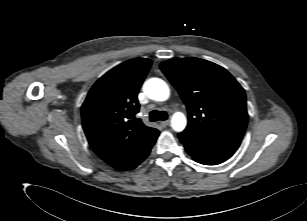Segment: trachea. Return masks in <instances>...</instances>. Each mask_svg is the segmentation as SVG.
Returning a JSON list of instances; mask_svg holds the SVG:
<instances>
[{"instance_id":"obj_1","label":"trachea","mask_w":307,"mask_h":221,"mask_svg":"<svg viewBox=\"0 0 307 221\" xmlns=\"http://www.w3.org/2000/svg\"><path fill=\"white\" fill-rule=\"evenodd\" d=\"M168 115L165 111L153 110L150 112V121L155 122L159 120H166Z\"/></svg>"}]
</instances>
